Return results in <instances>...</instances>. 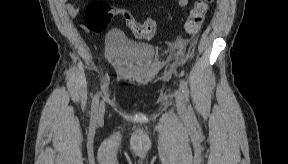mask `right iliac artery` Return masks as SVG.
<instances>
[{
	"label": "right iliac artery",
	"instance_id": "right-iliac-artery-1",
	"mask_svg": "<svg viewBox=\"0 0 288 164\" xmlns=\"http://www.w3.org/2000/svg\"><path fill=\"white\" fill-rule=\"evenodd\" d=\"M98 105H99V95L96 94L93 98L92 109H91V116L93 120L97 119Z\"/></svg>",
	"mask_w": 288,
	"mask_h": 164
}]
</instances>
